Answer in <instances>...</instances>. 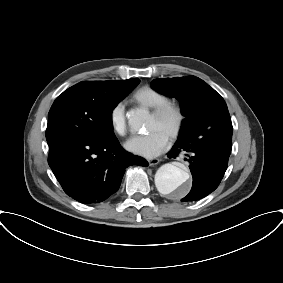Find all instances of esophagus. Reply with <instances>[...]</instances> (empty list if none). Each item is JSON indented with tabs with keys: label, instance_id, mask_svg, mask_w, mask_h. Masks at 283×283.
Listing matches in <instances>:
<instances>
[{
	"label": "esophagus",
	"instance_id": "esophagus-1",
	"mask_svg": "<svg viewBox=\"0 0 283 283\" xmlns=\"http://www.w3.org/2000/svg\"><path fill=\"white\" fill-rule=\"evenodd\" d=\"M147 161H148L149 166H154V165H156V164H158L160 162V159H158V158H150Z\"/></svg>",
	"mask_w": 283,
	"mask_h": 283
}]
</instances>
